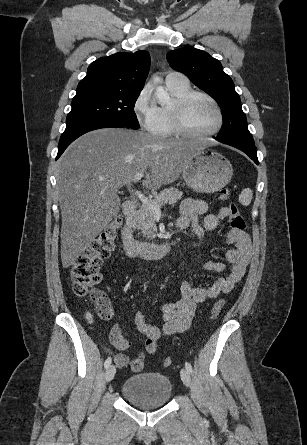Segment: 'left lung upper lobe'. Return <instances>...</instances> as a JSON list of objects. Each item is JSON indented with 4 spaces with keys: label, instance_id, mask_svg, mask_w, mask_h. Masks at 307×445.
Masks as SVG:
<instances>
[{
    "label": "left lung upper lobe",
    "instance_id": "5c2ea615",
    "mask_svg": "<svg viewBox=\"0 0 307 445\" xmlns=\"http://www.w3.org/2000/svg\"><path fill=\"white\" fill-rule=\"evenodd\" d=\"M167 60L172 68L184 73L220 106L223 126L218 139L253 141L234 83L217 59L205 51L187 46L168 52Z\"/></svg>",
    "mask_w": 307,
    "mask_h": 445
}]
</instances>
